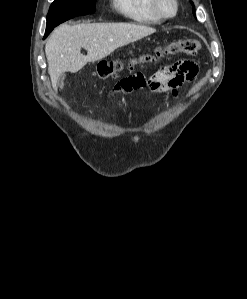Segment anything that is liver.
<instances>
[{"instance_id": "liver-1", "label": "liver", "mask_w": 247, "mask_h": 299, "mask_svg": "<svg viewBox=\"0 0 247 299\" xmlns=\"http://www.w3.org/2000/svg\"><path fill=\"white\" fill-rule=\"evenodd\" d=\"M156 29L131 23L62 24L45 45L48 73L56 89L58 77L64 72L76 73L88 62H95L116 49L140 40ZM81 48L87 55L81 53Z\"/></svg>"}]
</instances>
